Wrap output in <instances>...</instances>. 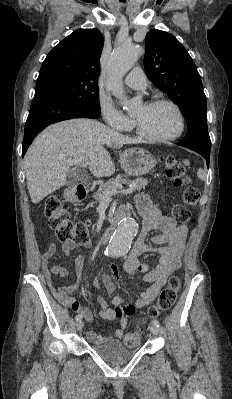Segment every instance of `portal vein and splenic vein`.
Returning a JSON list of instances; mask_svg holds the SVG:
<instances>
[{
  "instance_id": "18ae733b",
  "label": "portal vein and splenic vein",
  "mask_w": 232,
  "mask_h": 399,
  "mask_svg": "<svg viewBox=\"0 0 232 399\" xmlns=\"http://www.w3.org/2000/svg\"><path fill=\"white\" fill-rule=\"evenodd\" d=\"M69 162V166H80V164H82V160H68ZM83 166V164H82ZM85 166V164H84ZM132 192H134L132 186H130V188H128V190H122V192H118V190H111V192H109L108 196H106V198H110V196H115V194H132Z\"/></svg>"
}]
</instances>
